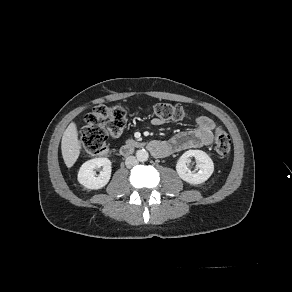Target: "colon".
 <instances>
[{"instance_id": "colon-1", "label": "colon", "mask_w": 292, "mask_h": 292, "mask_svg": "<svg viewBox=\"0 0 292 292\" xmlns=\"http://www.w3.org/2000/svg\"><path fill=\"white\" fill-rule=\"evenodd\" d=\"M151 114L163 121H183L189 118L188 112L180 105L158 103L150 108ZM126 112L121 106H96L85 117L81 131V141L90 155H101L106 151L108 136L120 135L126 125ZM231 150V139L221 127L215 128V151L220 158H226Z\"/></svg>"}]
</instances>
